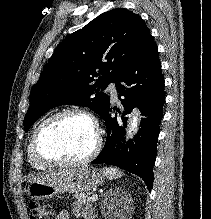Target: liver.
Wrapping results in <instances>:
<instances>
[{
    "label": "liver",
    "instance_id": "6515ba94",
    "mask_svg": "<svg viewBox=\"0 0 211 219\" xmlns=\"http://www.w3.org/2000/svg\"><path fill=\"white\" fill-rule=\"evenodd\" d=\"M74 170H60V171H53L49 172L46 175L35 177L32 182L37 183H48V182H57L63 179L68 178Z\"/></svg>",
    "mask_w": 211,
    "mask_h": 219
}]
</instances>
